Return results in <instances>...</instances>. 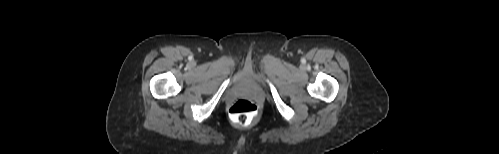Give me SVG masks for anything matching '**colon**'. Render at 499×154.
Segmentation results:
<instances>
[{"instance_id":"1","label":"colon","mask_w":499,"mask_h":154,"mask_svg":"<svg viewBox=\"0 0 499 154\" xmlns=\"http://www.w3.org/2000/svg\"><path fill=\"white\" fill-rule=\"evenodd\" d=\"M257 115V106L249 99H239L229 109L231 120L239 125L250 124Z\"/></svg>"}]
</instances>
